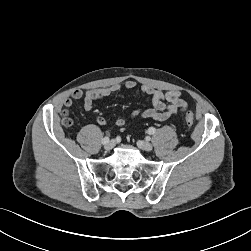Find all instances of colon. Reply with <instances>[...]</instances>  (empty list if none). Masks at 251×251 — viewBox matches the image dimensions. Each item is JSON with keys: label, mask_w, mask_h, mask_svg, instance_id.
<instances>
[{"label": "colon", "mask_w": 251, "mask_h": 251, "mask_svg": "<svg viewBox=\"0 0 251 251\" xmlns=\"http://www.w3.org/2000/svg\"><path fill=\"white\" fill-rule=\"evenodd\" d=\"M185 122L189 127H192L194 125V115L192 112H187L185 115ZM62 124L64 126H71L73 124V120L69 118L65 113L62 118Z\"/></svg>", "instance_id": "colon-1"}]
</instances>
